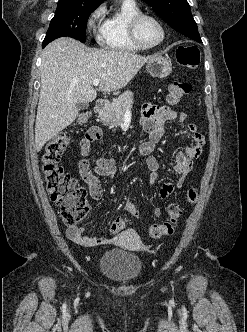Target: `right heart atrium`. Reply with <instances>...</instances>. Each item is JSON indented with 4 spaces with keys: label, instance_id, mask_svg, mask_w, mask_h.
Listing matches in <instances>:
<instances>
[{
    "label": "right heart atrium",
    "instance_id": "d8ad5b80",
    "mask_svg": "<svg viewBox=\"0 0 247 332\" xmlns=\"http://www.w3.org/2000/svg\"><path fill=\"white\" fill-rule=\"evenodd\" d=\"M105 12H106V10L103 5L98 6L90 14L88 21H87L88 28L90 29V31L93 33V35L98 40H100V38H101V33H102V29H103L102 21L104 19Z\"/></svg>",
    "mask_w": 247,
    "mask_h": 332
}]
</instances>
